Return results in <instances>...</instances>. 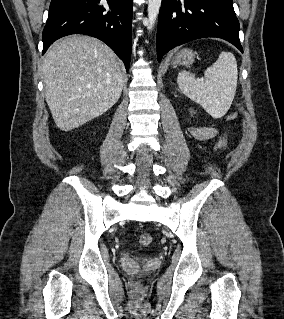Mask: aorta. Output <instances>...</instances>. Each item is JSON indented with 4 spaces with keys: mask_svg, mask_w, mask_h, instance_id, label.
Instances as JSON below:
<instances>
[{
    "mask_svg": "<svg viewBox=\"0 0 284 319\" xmlns=\"http://www.w3.org/2000/svg\"><path fill=\"white\" fill-rule=\"evenodd\" d=\"M162 0H148V29L151 30L154 27L156 19L159 14Z\"/></svg>",
    "mask_w": 284,
    "mask_h": 319,
    "instance_id": "1",
    "label": "aorta"
}]
</instances>
